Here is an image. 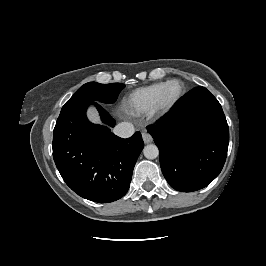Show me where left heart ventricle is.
Wrapping results in <instances>:
<instances>
[{
    "label": "left heart ventricle",
    "instance_id": "obj_1",
    "mask_svg": "<svg viewBox=\"0 0 266 266\" xmlns=\"http://www.w3.org/2000/svg\"><path fill=\"white\" fill-rule=\"evenodd\" d=\"M179 91L180 87L177 83L171 84L166 90L164 100L166 102L172 101L178 95Z\"/></svg>",
    "mask_w": 266,
    "mask_h": 266
}]
</instances>
